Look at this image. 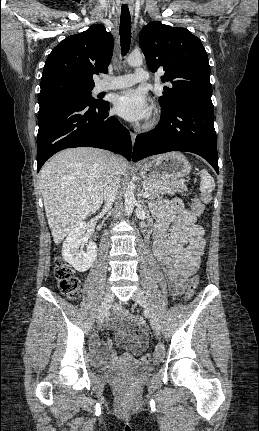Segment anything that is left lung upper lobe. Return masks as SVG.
I'll return each mask as SVG.
<instances>
[{"instance_id": "left-lung-upper-lobe-1", "label": "left lung upper lobe", "mask_w": 259, "mask_h": 431, "mask_svg": "<svg viewBox=\"0 0 259 431\" xmlns=\"http://www.w3.org/2000/svg\"><path fill=\"white\" fill-rule=\"evenodd\" d=\"M139 44L149 69H163L162 82L172 85L164 87L162 108L186 101L213 106L208 56L199 38L185 28L153 21L141 30Z\"/></svg>"}]
</instances>
